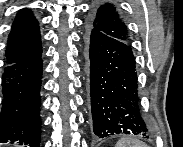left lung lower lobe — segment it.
Returning a JSON list of instances; mask_svg holds the SVG:
<instances>
[{"label":"left lung lower lobe","mask_w":183,"mask_h":147,"mask_svg":"<svg viewBox=\"0 0 183 147\" xmlns=\"http://www.w3.org/2000/svg\"><path fill=\"white\" fill-rule=\"evenodd\" d=\"M85 56L94 134L148 137L151 130L140 113L135 60L128 43L89 28Z\"/></svg>","instance_id":"1"}]
</instances>
